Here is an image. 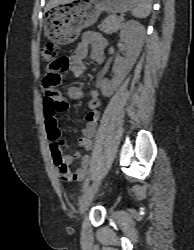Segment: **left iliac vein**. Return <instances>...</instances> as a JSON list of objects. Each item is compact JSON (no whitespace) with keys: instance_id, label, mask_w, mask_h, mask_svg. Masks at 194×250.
Listing matches in <instances>:
<instances>
[{"instance_id":"1","label":"left iliac vein","mask_w":194,"mask_h":250,"mask_svg":"<svg viewBox=\"0 0 194 250\" xmlns=\"http://www.w3.org/2000/svg\"><path fill=\"white\" fill-rule=\"evenodd\" d=\"M102 178H103L102 174L98 175L97 178L93 181V183L85 191L80 203V209H79L80 214H84L88 209L94 195L96 194V192L100 187Z\"/></svg>"}]
</instances>
